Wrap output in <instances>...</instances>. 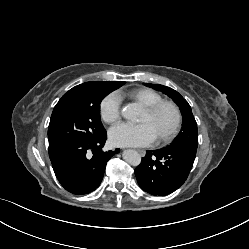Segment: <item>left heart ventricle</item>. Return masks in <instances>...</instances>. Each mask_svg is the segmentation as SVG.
Instances as JSON below:
<instances>
[{
    "mask_svg": "<svg viewBox=\"0 0 249 249\" xmlns=\"http://www.w3.org/2000/svg\"><path fill=\"white\" fill-rule=\"evenodd\" d=\"M140 122L149 123L156 137H159L171 128L174 122V114L169 108H163L154 115H150L143 110Z\"/></svg>",
    "mask_w": 249,
    "mask_h": 249,
    "instance_id": "obj_1",
    "label": "left heart ventricle"
}]
</instances>
